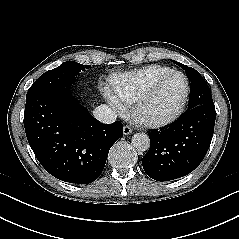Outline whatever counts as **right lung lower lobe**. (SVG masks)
<instances>
[{"label":"right lung lower lobe","instance_id":"1","mask_svg":"<svg viewBox=\"0 0 239 239\" xmlns=\"http://www.w3.org/2000/svg\"><path fill=\"white\" fill-rule=\"evenodd\" d=\"M24 126L44 169L69 183L95 181L111 146L123 136L120 122L100 123L71 96L69 87L26 96Z\"/></svg>","mask_w":239,"mask_h":239}]
</instances>
